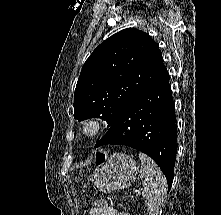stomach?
I'll return each mask as SVG.
<instances>
[{"label": "stomach", "mask_w": 221, "mask_h": 215, "mask_svg": "<svg viewBox=\"0 0 221 215\" xmlns=\"http://www.w3.org/2000/svg\"><path fill=\"white\" fill-rule=\"evenodd\" d=\"M137 174L138 167L131 156L114 153L105 163L95 168L90 180L100 191L111 193L129 187L136 180Z\"/></svg>", "instance_id": "0dacf381"}]
</instances>
